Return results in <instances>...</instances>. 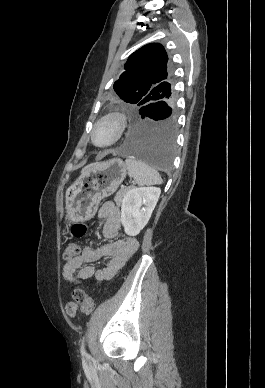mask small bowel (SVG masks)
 I'll return each instance as SVG.
<instances>
[{
    "mask_svg": "<svg viewBox=\"0 0 265 388\" xmlns=\"http://www.w3.org/2000/svg\"><path fill=\"white\" fill-rule=\"evenodd\" d=\"M98 218L104 221L102 235L112 242L102 246H86L80 255L68 261L62 270V277L68 284H72L77 273L83 280L95 277L98 281H109L125 265L130 257L137 251L139 243L136 238L128 236L118 238L121 227V212L119 207L111 201L105 202L98 210ZM108 257L109 261L104 267L93 265L97 260ZM66 312L74 317L77 306L69 303Z\"/></svg>",
    "mask_w": 265,
    "mask_h": 388,
    "instance_id": "small-bowel-1",
    "label": "small bowel"
}]
</instances>
